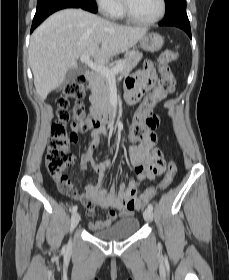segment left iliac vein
<instances>
[{
    "instance_id": "left-iliac-vein-1",
    "label": "left iliac vein",
    "mask_w": 229,
    "mask_h": 280,
    "mask_svg": "<svg viewBox=\"0 0 229 280\" xmlns=\"http://www.w3.org/2000/svg\"><path fill=\"white\" fill-rule=\"evenodd\" d=\"M143 216H144V219L148 222L152 221V218H153V212L152 210L150 209H145L144 212H143Z\"/></svg>"
}]
</instances>
